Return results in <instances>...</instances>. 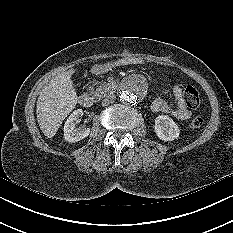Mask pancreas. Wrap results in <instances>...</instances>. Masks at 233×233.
<instances>
[{"label":"pancreas","instance_id":"cf45deb5","mask_svg":"<svg viewBox=\"0 0 233 233\" xmlns=\"http://www.w3.org/2000/svg\"><path fill=\"white\" fill-rule=\"evenodd\" d=\"M115 88H116L115 85L107 83V82H103L102 84L97 86L96 89H92L90 93L92 94L93 97L100 99L106 96L111 91H114Z\"/></svg>","mask_w":233,"mask_h":233}]
</instances>
